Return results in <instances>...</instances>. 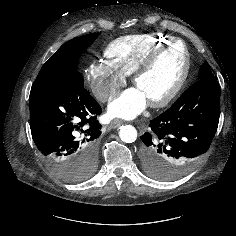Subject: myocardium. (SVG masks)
<instances>
[{"instance_id":"obj_1","label":"myocardium","mask_w":236,"mask_h":236,"mask_svg":"<svg viewBox=\"0 0 236 236\" xmlns=\"http://www.w3.org/2000/svg\"><path fill=\"white\" fill-rule=\"evenodd\" d=\"M176 45H181L183 50V70L174 86L162 97L149 100V105L155 108L163 107L170 103L182 90L190 73V55L186 44L182 40H172L154 50L132 72V82L136 85L138 79L146 73L166 51Z\"/></svg>"}]
</instances>
